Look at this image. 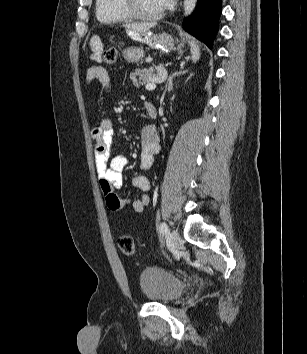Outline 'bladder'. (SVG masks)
Segmentation results:
<instances>
[{
	"label": "bladder",
	"mask_w": 307,
	"mask_h": 354,
	"mask_svg": "<svg viewBox=\"0 0 307 354\" xmlns=\"http://www.w3.org/2000/svg\"><path fill=\"white\" fill-rule=\"evenodd\" d=\"M139 287L148 300L168 303L182 295L185 284L175 274L160 267L150 266L141 271Z\"/></svg>",
	"instance_id": "bladder-1"
}]
</instances>
